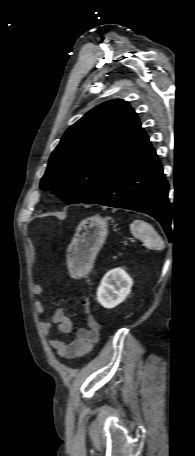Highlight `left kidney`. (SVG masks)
I'll return each instance as SVG.
<instances>
[{
  "instance_id": "obj_1",
  "label": "left kidney",
  "mask_w": 195,
  "mask_h": 456,
  "mask_svg": "<svg viewBox=\"0 0 195 456\" xmlns=\"http://www.w3.org/2000/svg\"><path fill=\"white\" fill-rule=\"evenodd\" d=\"M132 285L133 280L122 268L113 269L102 278L97 301L105 308H114L126 299Z\"/></svg>"
}]
</instances>
